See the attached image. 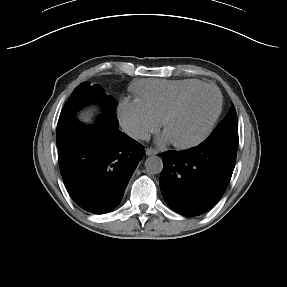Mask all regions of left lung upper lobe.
Wrapping results in <instances>:
<instances>
[{"mask_svg":"<svg viewBox=\"0 0 287 287\" xmlns=\"http://www.w3.org/2000/svg\"><path fill=\"white\" fill-rule=\"evenodd\" d=\"M212 146L223 149L230 157L236 159L238 147V123L235 107L229 110L226 117L205 140Z\"/></svg>","mask_w":287,"mask_h":287,"instance_id":"5c2ea615","label":"left lung upper lobe"}]
</instances>
